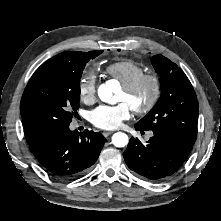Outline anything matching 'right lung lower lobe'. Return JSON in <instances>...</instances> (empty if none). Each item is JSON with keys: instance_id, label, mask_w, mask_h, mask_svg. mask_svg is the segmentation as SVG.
Here are the masks:
<instances>
[{"instance_id": "obj_1", "label": "right lung lower lobe", "mask_w": 221, "mask_h": 221, "mask_svg": "<svg viewBox=\"0 0 221 221\" xmlns=\"http://www.w3.org/2000/svg\"><path fill=\"white\" fill-rule=\"evenodd\" d=\"M106 138L93 131L56 127L29 144L40 166L51 176L69 180L84 174L99 157Z\"/></svg>"}]
</instances>
